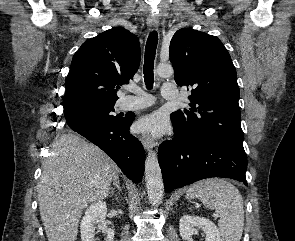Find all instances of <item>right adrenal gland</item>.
Instances as JSON below:
<instances>
[{
    "instance_id": "right-adrenal-gland-1",
    "label": "right adrenal gland",
    "mask_w": 295,
    "mask_h": 241,
    "mask_svg": "<svg viewBox=\"0 0 295 241\" xmlns=\"http://www.w3.org/2000/svg\"><path fill=\"white\" fill-rule=\"evenodd\" d=\"M113 185L114 187H111V193L113 194L114 193V189L116 188L117 190L121 191V187H120V182H119V176L118 175H115L113 177Z\"/></svg>"
}]
</instances>
